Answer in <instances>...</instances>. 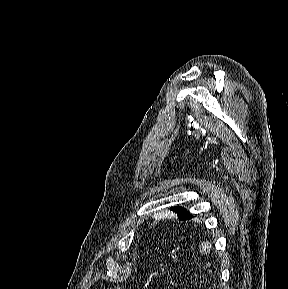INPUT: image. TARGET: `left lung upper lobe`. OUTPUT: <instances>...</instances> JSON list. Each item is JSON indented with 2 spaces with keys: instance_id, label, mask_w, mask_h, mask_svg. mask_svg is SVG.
<instances>
[{
  "instance_id": "obj_1",
  "label": "left lung upper lobe",
  "mask_w": 288,
  "mask_h": 289,
  "mask_svg": "<svg viewBox=\"0 0 288 289\" xmlns=\"http://www.w3.org/2000/svg\"><path fill=\"white\" fill-rule=\"evenodd\" d=\"M170 209L177 213L179 220H187L191 216L189 212H187V210L183 207L178 206L172 207Z\"/></svg>"
}]
</instances>
